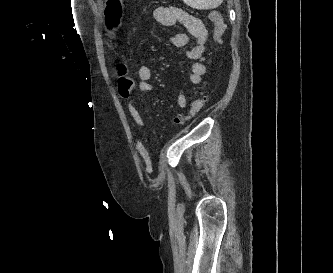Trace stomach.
<instances>
[{
    "instance_id": "0dacf381",
    "label": "stomach",
    "mask_w": 333,
    "mask_h": 273,
    "mask_svg": "<svg viewBox=\"0 0 333 273\" xmlns=\"http://www.w3.org/2000/svg\"><path fill=\"white\" fill-rule=\"evenodd\" d=\"M123 0H106L104 7L103 23H106L109 28H120L121 23H126V16H117L121 14Z\"/></svg>"
}]
</instances>
